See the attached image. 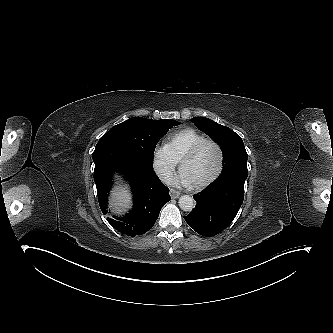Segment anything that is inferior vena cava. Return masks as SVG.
Instances as JSON below:
<instances>
[{"label":"inferior vena cava","mask_w":333,"mask_h":333,"mask_svg":"<svg viewBox=\"0 0 333 333\" xmlns=\"http://www.w3.org/2000/svg\"><path fill=\"white\" fill-rule=\"evenodd\" d=\"M158 176L165 184L169 185L171 183V173L169 171H159Z\"/></svg>","instance_id":"obj_1"}]
</instances>
